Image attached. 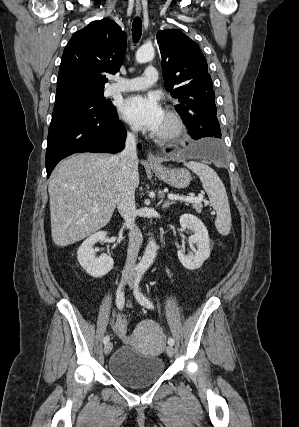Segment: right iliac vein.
Returning <instances> with one entry per match:
<instances>
[{
    "mask_svg": "<svg viewBox=\"0 0 299 427\" xmlns=\"http://www.w3.org/2000/svg\"><path fill=\"white\" fill-rule=\"evenodd\" d=\"M112 348H113V344L111 342L106 343L104 346L105 355L110 354V352L112 351Z\"/></svg>",
    "mask_w": 299,
    "mask_h": 427,
    "instance_id": "obj_1",
    "label": "right iliac vein"
}]
</instances>
